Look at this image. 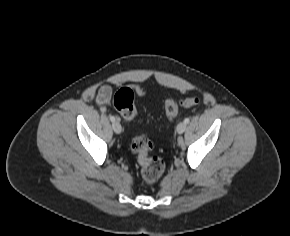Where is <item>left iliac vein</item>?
Wrapping results in <instances>:
<instances>
[{
	"mask_svg": "<svg viewBox=\"0 0 290 236\" xmlns=\"http://www.w3.org/2000/svg\"><path fill=\"white\" fill-rule=\"evenodd\" d=\"M186 129V123L184 122H180L177 127H176V130L179 134H182Z\"/></svg>",
	"mask_w": 290,
	"mask_h": 236,
	"instance_id": "obj_1",
	"label": "left iliac vein"
}]
</instances>
